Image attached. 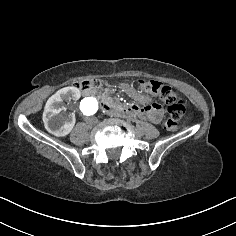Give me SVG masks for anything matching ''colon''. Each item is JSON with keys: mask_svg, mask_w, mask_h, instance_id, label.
<instances>
[{"mask_svg": "<svg viewBox=\"0 0 236 236\" xmlns=\"http://www.w3.org/2000/svg\"><path fill=\"white\" fill-rule=\"evenodd\" d=\"M104 82L100 79L94 78L85 81L76 82V86L81 89H92L100 87ZM141 90L152 93L160 97L168 107L169 118L165 122L166 129L175 131L178 128V121L185 113V104L177 94L167 85L155 80H139L138 82Z\"/></svg>", "mask_w": 236, "mask_h": 236, "instance_id": "5ec220e1", "label": "colon"}]
</instances>
